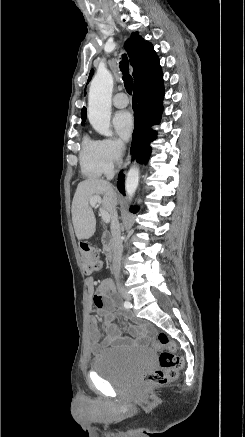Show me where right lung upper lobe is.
Segmentation results:
<instances>
[{
  "mask_svg": "<svg viewBox=\"0 0 245 437\" xmlns=\"http://www.w3.org/2000/svg\"><path fill=\"white\" fill-rule=\"evenodd\" d=\"M125 49L133 66L134 87L150 84L162 77L159 59L153 49V45L145 41L137 33H132L125 43ZM93 75L91 70L88 81ZM86 93V92H85ZM86 107L82 108V124L86 121Z\"/></svg>",
  "mask_w": 245,
  "mask_h": 437,
  "instance_id": "cb5924a9",
  "label": "right lung upper lobe"
}]
</instances>
